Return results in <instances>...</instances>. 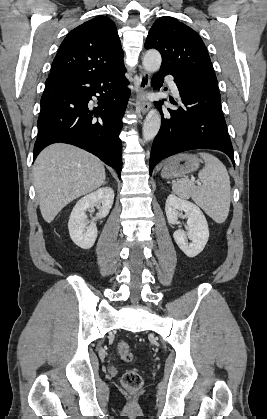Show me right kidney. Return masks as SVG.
Here are the masks:
<instances>
[{
  "mask_svg": "<svg viewBox=\"0 0 267 419\" xmlns=\"http://www.w3.org/2000/svg\"><path fill=\"white\" fill-rule=\"evenodd\" d=\"M114 201V191L110 187L100 188L81 198L69 217L68 229L72 241L82 249H90L96 241L98 230L94 220L87 226L85 211L98 205L96 219L106 217Z\"/></svg>",
  "mask_w": 267,
  "mask_h": 419,
  "instance_id": "ca27d5eb",
  "label": "right kidney"
}]
</instances>
